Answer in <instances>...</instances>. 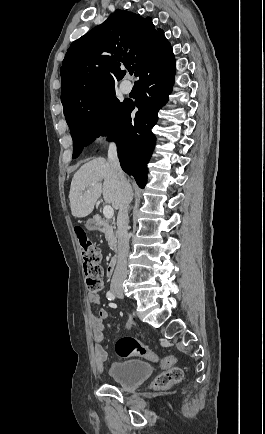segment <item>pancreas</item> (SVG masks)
I'll return each mask as SVG.
<instances>
[{"instance_id":"pancreas-1","label":"pancreas","mask_w":265,"mask_h":434,"mask_svg":"<svg viewBox=\"0 0 265 434\" xmlns=\"http://www.w3.org/2000/svg\"><path fill=\"white\" fill-rule=\"evenodd\" d=\"M105 238L108 242V246H109L110 250H114V252H116L117 240H116V236L113 232V226H108V228L105 232Z\"/></svg>"}]
</instances>
